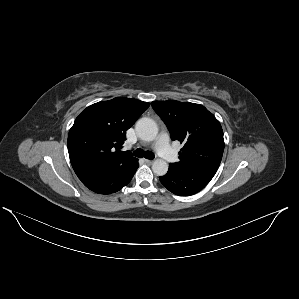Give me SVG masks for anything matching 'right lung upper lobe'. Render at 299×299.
Returning <instances> with one entry per match:
<instances>
[{
    "instance_id": "obj_1",
    "label": "right lung upper lobe",
    "mask_w": 299,
    "mask_h": 299,
    "mask_svg": "<svg viewBox=\"0 0 299 299\" xmlns=\"http://www.w3.org/2000/svg\"><path fill=\"white\" fill-rule=\"evenodd\" d=\"M148 107L147 102L117 97L90 105L79 114L68 135L69 157L79 179L137 160L120 149L126 131Z\"/></svg>"
}]
</instances>
